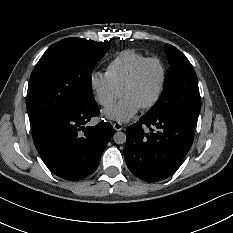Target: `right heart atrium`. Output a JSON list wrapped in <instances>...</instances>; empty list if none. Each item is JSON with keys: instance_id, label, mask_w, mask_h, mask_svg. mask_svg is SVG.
<instances>
[{"instance_id": "right-heart-atrium-1", "label": "right heart atrium", "mask_w": 233, "mask_h": 233, "mask_svg": "<svg viewBox=\"0 0 233 233\" xmlns=\"http://www.w3.org/2000/svg\"><path fill=\"white\" fill-rule=\"evenodd\" d=\"M89 86L95 100L104 107L112 105L119 96V90L105 74L96 71L92 72L89 77Z\"/></svg>"}]
</instances>
